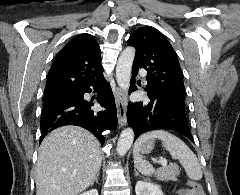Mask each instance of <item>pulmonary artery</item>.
Returning <instances> with one entry per match:
<instances>
[{"label": "pulmonary artery", "instance_id": "pulmonary-artery-1", "mask_svg": "<svg viewBox=\"0 0 240 195\" xmlns=\"http://www.w3.org/2000/svg\"><path fill=\"white\" fill-rule=\"evenodd\" d=\"M139 75H140V76H143V75H144V70H143V69H140V70H139Z\"/></svg>", "mask_w": 240, "mask_h": 195}]
</instances>
